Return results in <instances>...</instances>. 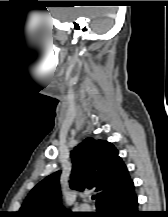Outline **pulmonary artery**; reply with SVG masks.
<instances>
[{
	"instance_id": "1",
	"label": "pulmonary artery",
	"mask_w": 168,
	"mask_h": 217,
	"mask_svg": "<svg viewBox=\"0 0 168 217\" xmlns=\"http://www.w3.org/2000/svg\"><path fill=\"white\" fill-rule=\"evenodd\" d=\"M83 209H87L88 207H87V205H82L81 206Z\"/></svg>"
}]
</instances>
